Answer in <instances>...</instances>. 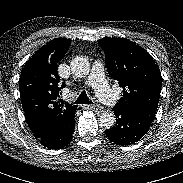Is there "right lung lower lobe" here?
Listing matches in <instances>:
<instances>
[{
    "mask_svg": "<svg viewBox=\"0 0 183 183\" xmlns=\"http://www.w3.org/2000/svg\"><path fill=\"white\" fill-rule=\"evenodd\" d=\"M73 132L74 122L65 128L50 129L43 125L33 131V134L43 146L50 149H61L71 141Z\"/></svg>",
    "mask_w": 183,
    "mask_h": 183,
    "instance_id": "right-lung-lower-lobe-1",
    "label": "right lung lower lobe"
}]
</instances>
